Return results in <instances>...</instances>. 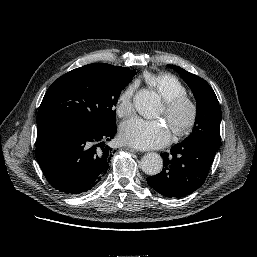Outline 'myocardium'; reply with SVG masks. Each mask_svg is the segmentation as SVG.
Segmentation results:
<instances>
[{"instance_id": "myocardium-1", "label": "myocardium", "mask_w": 257, "mask_h": 257, "mask_svg": "<svg viewBox=\"0 0 257 257\" xmlns=\"http://www.w3.org/2000/svg\"><path fill=\"white\" fill-rule=\"evenodd\" d=\"M185 111L184 117H181ZM163 116L173 120L172 132L175 136L181 137L188 134L194 127L197 116V103L188 95H181L163 101Z\"/></svg>"}]
</instances>
